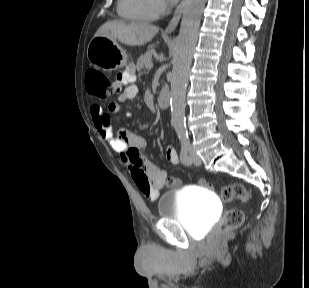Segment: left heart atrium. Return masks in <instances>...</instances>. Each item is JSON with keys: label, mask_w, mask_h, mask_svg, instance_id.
Returning a JSON list of instances; mask_svg holds the SVG:
<instances>
[{"label": "left heart atrium", "mask_w": 309, "mask_h": 288, "mask_svg": "<svg viewBox=\"0 0 309 288\" xmlns=\"http://www.w3.org/2000/svg\"><path fill=\"white\" fill-rule=\"evenodd\" d=\"M172 2H176V1H178V0H171Z\"/></svg>", "instance_id": "39dd6f15"}]
</instances>
